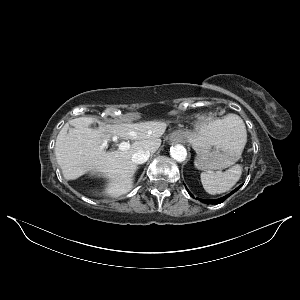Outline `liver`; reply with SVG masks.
<instances>
[{
  "instance_id": "6515ba94",
  "label": "liver",
  "mask_w": 300,
  "mask_h": 300,
  "mask_svg": "<svg viewBox=\"0 0 300 300\" xmlns=\"http://www.w3.org/2000/svg\"><path fill=\"white\" fill-rule=\"evenodd\" d=\"M92 118L79 117L70 121L73 128L63 127L59 132L55 155L57 163L67 180L77 179L89 173L91 176L107 180L103 194L119 197L133 187L137 166L132 156L144 149L155 153L161 145L167 123L148 121L111 125L99 123L97 129L91 128ZM111 137L132 140L128 150L104 151Z\"/></svg>"
}]
</instances>
